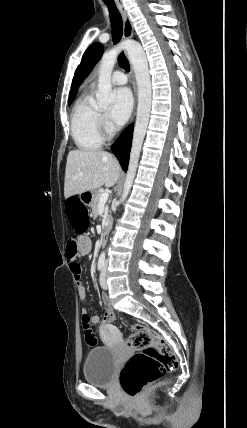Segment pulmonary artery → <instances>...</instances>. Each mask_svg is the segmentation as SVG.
<instances>
[{
    "mask_svg": "<svg viewBox=\"0 0 247 428\" xmlns=\"http://www.w3.org/2000/svg\"><path fill=\"white\" fill-rule=\"evenodd\" d=\"M111 81L116 85H124L127 83V77L123 72L115 71L111 76Z\"/></svg>",
    "mask_w": 247,
    "mask_h": 428,
    "instance_id": "obj_1",
    "label": "pulmonary artery"
}]
</instances>
